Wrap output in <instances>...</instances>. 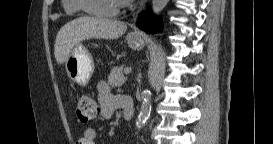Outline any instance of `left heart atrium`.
Here are the masks:
<instances>
[{
	"instance_id": "39dd6f15",
	"label": "left heart atrium",
	"mask_w": 273,
	"mask_h": 144,
	"mask_svg": "<svg viewBox=\"0 0 273 144\" xmlns=\"http://www.w3.org/2000/svg\"><path fill=\"white\" fill-rule=\"evenodd\" d=\"M131 2V0H116L117 5L125 6L128 5Z\"/></svg>"
}]
</instances>
